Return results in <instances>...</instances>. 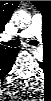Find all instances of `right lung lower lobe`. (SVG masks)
I'll use <instances>...</instances> for the list:
<instances>
[{
    "mask_svg": "<svg viewBox=\"0 0 51 101\" xmlns=\"http://www.w3.org/2000/svg\"><path fill=\"white\" fill-rule=\"evenodd\" d=\"M17 55V54H16ZM16 55L14 58H12V60L9 62V64H7L4 69L2 70V75H6L10 70H11V67L13 66V63L16 59Z\"/></svg>",
    "mask_w": 51,
    "mask_h": 101,
    "instance_id": "right-lung-lower-lobe-1",
    "label": "right lung lower lobe"
}]
</instances>
